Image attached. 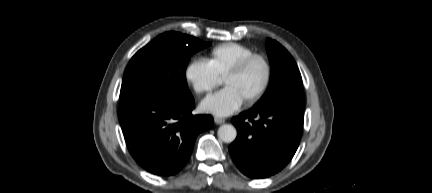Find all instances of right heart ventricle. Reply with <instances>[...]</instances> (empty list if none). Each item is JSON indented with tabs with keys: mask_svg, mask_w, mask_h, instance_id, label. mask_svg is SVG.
I'll return each mask as SVG.
<instances>
[{
	"mask_svg": "<svg viewBox=\"0 0 432 193\" xmlns=\"http://www.w3.org/2000/svg\"><path fill=\"white\" fill-rule=\"evenodd\" d=\"M228 52H234V60H238L239 58H242L243 56L248 55L251 50L249 48H244V47H221V48H217L213 51L212 53V57L209 59V64L210 66L220 75H223L226 71V68L228 65H226L223 61V57L224 55L228 54ZM232 62V61H231ZM230 64V63H229Z\"/></svg>",
	"mask_w": 432,
	"mask_h": 193,
	"instance_id": "right-heart-ventricle-1",
	"label": "right heart ventricle"
}]
</instances>
